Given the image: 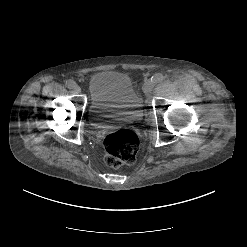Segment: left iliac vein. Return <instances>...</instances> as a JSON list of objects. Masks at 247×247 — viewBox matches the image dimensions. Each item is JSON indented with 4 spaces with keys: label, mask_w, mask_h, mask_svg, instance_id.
Listing matches in <instances>:
<instances>
[{
    "label": "left iliac vein",
    "mask_w": 247,
    "mask_h": 247,
    "mask_svg": "<svg viewBox=\"0 0 247 247\" xmlns=\"http://www.w3.org/2000/svg\"><path fill=\"white\" fill-rule=\"evenodd\" d=\"M153 87H154V83L152 81L146 82L143 86L144 94H149L151 90L153 89Z\"/></svg>",
    "instance_id": "left-iliac-vein-1"
}]
</instances>
